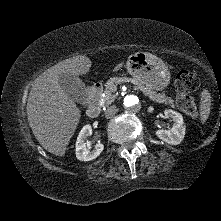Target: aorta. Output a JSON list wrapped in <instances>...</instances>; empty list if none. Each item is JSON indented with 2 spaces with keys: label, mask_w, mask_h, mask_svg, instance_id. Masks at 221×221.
Masks as SVG:
<instances>
[{
  "label": "aorta",
  "mask_w": 221,
  "mask_h": 221,
  "mask_svg": "<svg viewBox=\"0 0 221 221\" xmlns=\"http://www.w3.org/2000/svg\"><path fill=\"white\" fill-rule=\"evenodd\" d=\"M124 107L129 112H136L140 108V101L136 95H127L124 98Z\"/></svg>",
  "instance_id": "1"
}]
</instances>
